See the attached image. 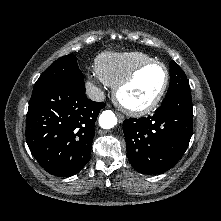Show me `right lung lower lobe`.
I'll use <instances>...</instances> for the list:
<instances>
[{"label":"right lung lower lobe","instance_id":"98d812e1","mask_svg":"<svg viewBox=\"0 0 221 221\" xmlns=\"http://www.w3.org/2000/svg\"><path fill=\"white\" fill-rule=\"evenodd\" d=\"M105 104L89 100L85 87L60 83L30 99L26 140L48 173L77 174L90 160L94 125Z\"/></svg>","mask_w":221,"mask_h":221}]
</instances>
